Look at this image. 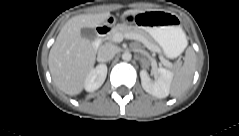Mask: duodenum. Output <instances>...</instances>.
<instances>
[{"instance_id":"410a0bca","label":"duodenum","mask_w":239,"mask_h":136,"mask_svg":"<svg viewBox=\"0 0 239 136\" xmlns=\"http://www.w3.org/2000/svg\"><path fill=\"white\" fill-rule=\"evenodd\" d=\"M115 22V18L111 17L108 20V23L106 25L100 26L97 28V38L93 42V48L96 49L99 47L102 39L111 32L113 28V23Z\"/></svg>"}]
</instances>
